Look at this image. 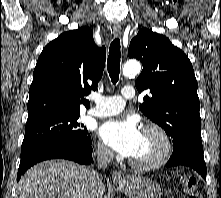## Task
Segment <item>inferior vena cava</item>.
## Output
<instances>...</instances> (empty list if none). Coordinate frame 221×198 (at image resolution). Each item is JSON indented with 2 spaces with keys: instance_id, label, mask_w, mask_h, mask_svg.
Segmentation results:
<instances>
[{
  "instance_id": "1",
  "label": "inferior vena cava",
  "mask_w": 221,
  "mask_h": 198,
  "mask_svg": "<svg viewBox=\"0 0 221 198\" xmlns=\"http://www.w3.org/2000/svg\"><path fill=\"white\" fill-rule=\"evenodd\" d=\"M97 164L101 168H106L107 164L113 159V152L105 146H98L96 150ZM89 179L93 185L102 183V175L95 170L89 172Z\"/></svg>"
}]
</instances>
